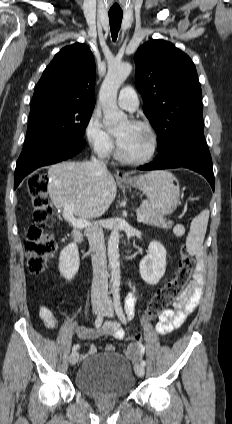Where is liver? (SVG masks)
Returning a JSON list of instances; mask_svg holds the SVG:
<instances>
[{"mask_svg": "<svg viewBox=\"0 0 232 424\" xmlns=\"http://www.w3.org/2000/svg\"><path fill=\"white\" fill-rule=\"evenodd\" d=\"M53 176L48 193L56 208L73 206L79 219L102 216L114 201L117 187L113 176L100 172L91 162L65 161L49 170Z\"/></svg>", "mask_w": 232, "mask_h": 424, "instance_id": "liver-1", "label": "liver"}]
</instances>
